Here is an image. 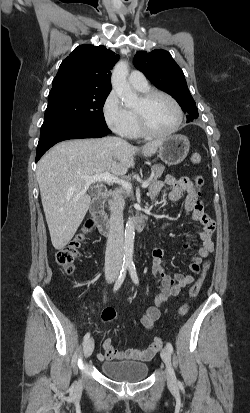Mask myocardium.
Returning <instances> with one entry per match:
<instances>
[{
	"label": "myocardium",
	"instance_id": "f54148a6",
	"mask_svg": "<svg viewBox=\"0 0 250 413\" xmlns=\"http://www.w3.org/2000/svg\"><path fill=\"white\" fill-rule=\"evenodd\" d=\"M155 96H163V97L167 98L174 105V107L177 111V115H178L177 122H176L175 126L167 132H164V133L155 132L149 126L145 109L141 108V109H136L135 110L136 115H137V119H138L139 128H140V131H141L142 135L145 136V137L152 138V139L168 138V137L174 135L176 132L179 131V129H180L182 123H183V118H184L183 110H182V107L179 104V102L171 94H169L165 91H162V90H158V89H152V90L145 91L142 94L141 100L144 103V105H146Z\"/></svg>",
	"mask_w": 250,
	"mask_h": 413
}]
</instances>
